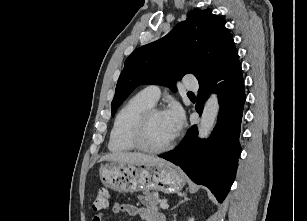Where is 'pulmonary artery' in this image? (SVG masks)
<instances>
[{
  "label": "pulmonary artery",
  "mask_w": 307,
  "mask_h": 221,
  "mask_svg": "<svg viewBox=\"0 0 307 221\" xmlns=\"http://www.w3.org/2000/svg\"><path fill=\"white\" fill-rule=\"evenodd\" d=\"M184 86L187 89L196 90L198 88V83L188 77L184 81ZM148 100L152 103H156L160 97L161 91L160 88L156 85H150L144 88L141 92Z\"/></svg>",
  "instance_id": "1"
}]
</instances>
